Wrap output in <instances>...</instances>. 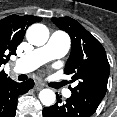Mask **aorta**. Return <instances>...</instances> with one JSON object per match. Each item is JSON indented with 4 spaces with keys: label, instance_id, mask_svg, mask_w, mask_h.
Here are the masks:
<instances>
[{
    "label": "aorta",
    "instance_id": "762f6f07",
    "mask_svg": "<svg viewBox=\"0 0 117 117\" xmlns=\"http://www.w3.org/2000/svg\"><path fill=\"white\" fill-rule=\"evenodd\" d=\"M28 42L35 46L44 45L49 38V30L43 24L35 23L26 31ZM39 99L44 106H51L55 103L56 95L51 89H43L39 93Z\"/></svg>",
    "mask_w": 117,
    "mask_h": 117
}]
</instances>
